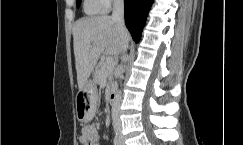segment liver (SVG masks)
Wrapping results in <instances>:
<instances>
[{
  "label": "liver",
  "instance_id": "1",
  "mask_svg": "<svg viewBox=\"0 0 243 145\" xmlns=\"http://www.w3.org/2000/svg\"><path fill=\"white\" fill-rule=\"evenodd\" d=\"M129 38L128 31L121 33L110 16L86 17L75 22L73 42L79 89L86 85L101 54L118 56L123 40Z\"/></svg>",
  "mask_w": 243,
  "mask_h": 145
}]
</instances>
